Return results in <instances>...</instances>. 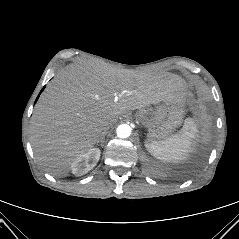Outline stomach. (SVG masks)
<instances>
[{
    "label": "stomach",
    "instance_id": "stomach-1",
    "mask_svg": "<svg viewBox=\"0 0 239 239\" xmlns=\"http://www.w3.org/2000/svg\"><path fill=\"white\" fill-rule=\"evenodd\" d=\"M151 121L144 125L148 128V141H160L169 138L183 121L185 108L183 98L160 103L150 112Z\"/></svg>",
    "mask_w": 239,
    "mask_h": 239
}]
</instances>
